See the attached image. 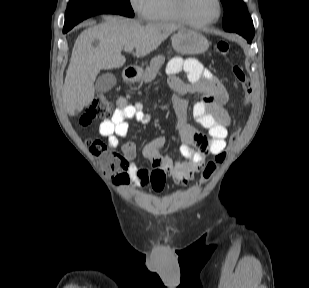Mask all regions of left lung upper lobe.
<instances>
[{"instance_id":"5c2ea615","label":"left lung upper lobe","mask_w":309,"mask_h":288,"mask_svg":"<svg viewBox=\"0 0 309 288\" xmlns=\"http://www.w3.org/2000/svg\"><path fill=\"white\" fill-rule=\"evenodd\" d=\"M224 8L223 28L230 31L234 28L253 24L243 0H221Z\"/></svg>"}]
</instances>
